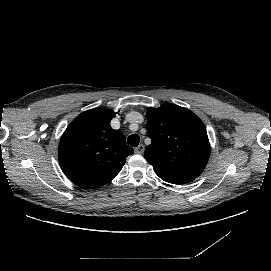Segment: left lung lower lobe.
Listing matches in <instances>:
<instances>
[{
  "label": "left lung lower lobe",
  "instance_id": "left-lung-lower-lobe-1",
  "mask_svg": "<svg viewBox=\"0 0 271 271\" xmlns=\"http://www.w3.org/2000/svg\"><path fill=\"white\" fill-rule=\"evenodd\" d=\"M155 173L164 181L172 184H184L194 180L196 177L186 176L178 173L163 172L154 170Z\"/></svg>",
  "mask_w": 271,
  "mask_h": 271
}]
</instances>
